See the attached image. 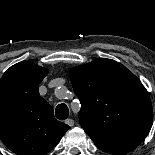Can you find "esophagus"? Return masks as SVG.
Here are the masks:
<instances>
[{"label": "esophagus", "instance_id": "esophagus-1", "mask_svg": "<svg viewBox=\"0 0 155 155\" xmlns=\"http://www.w3.org/2000/svg\"><path fill=\"white\" fill-rule=\"evenodd\" d=\"M65 123H66L67 125H69L70 127L74 126V120H73V119H67V120L65 121Z\"/></svg>", "mask_w": 155, "mask_h": 155}]
</instances>
